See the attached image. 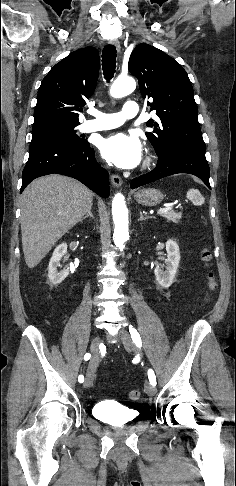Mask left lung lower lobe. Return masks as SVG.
<instances>
[{
  "mask_svg": "<svg viewBox=\"0 0 236 486\" xmlns=\"http://www.w3.org/2000/svg\"><path fill=\"white\" fill-rule=\"evenodd\" d=\"M189 173L199 177L211 189L209 183V165L205 150L185 146H177L158 156L157 166L151 172L134 178L130 184L132 189L177 174Z\"/></svg>",
  "mask_w": 236,
  "mask_h": 486,
  "instance_id": "left-lung-lower-lobe-1",
  "label": "left lung lower lobe"
}]
</instances>
